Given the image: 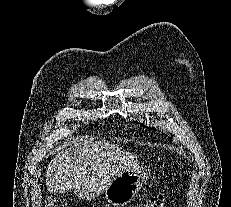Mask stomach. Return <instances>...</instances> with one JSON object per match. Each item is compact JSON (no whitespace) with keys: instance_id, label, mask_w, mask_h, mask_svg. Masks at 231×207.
Here are the masks:
<instances>
[{"instance_id":"stomach-1","label":"stomach","mask_w":231,"mask_h":207,"mask_svg":"<svg viewBox=\"0 0 231 207\" xmlns=\"http://www.w3.org/2000/svg\"><path fill=\"white\" fill-rule=\"evenodd\" d=\"M144 180L145 173L141 170L123 171L105 188L104 195L107 202L115 207L127 205L136 197Z\"/></svg>"}]
</instances>
